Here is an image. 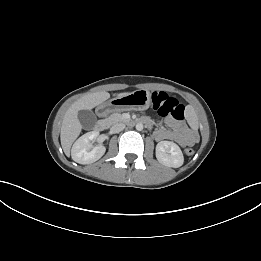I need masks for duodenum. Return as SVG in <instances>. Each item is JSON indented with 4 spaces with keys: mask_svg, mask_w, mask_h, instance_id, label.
<instances>
[{
    "mask_svg": "<svg viewBox=\"0 0 261 261\" xmlns=\"http://www.w3.org/2000/svg\"><path fill=\"white\" fill-rule=\"evenodd\" d=\"M109 109H110V106H108V105L102 106V107H100V109H99V113H100V114H104V113L108 112ZM105 128H106V122H105L104 120H99V121L96 123V125H95V129H96L97 131H102V130H104Z\"/></svg>",
    "mask_w": 261,
    "mask_h": 261,
    "instance_id": "obj_1",
    "label": "duodenum"
}]
</instances>
